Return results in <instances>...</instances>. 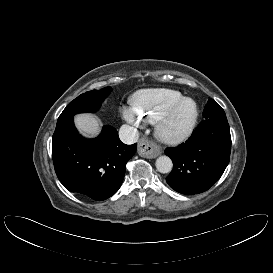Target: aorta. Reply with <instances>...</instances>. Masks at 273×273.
Wrapping results in <instances>:
<instances>
[{"label":"aorta","mask_w":273,"mask_h":273,"mask_svg":"<svg viewBox=\"0 0 273 273\" xmlns=\"http://www.w3.org/2000/svg\"><path fill=\"white\" fill-rule=\"evenodd\" d=\"M172 160L168 156H160L156 160V168L160 173H169L172 170Z\"/></svg>","instance_id":"aorta-1"}]
</instances>
